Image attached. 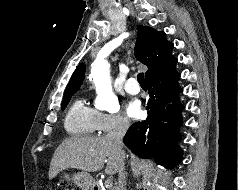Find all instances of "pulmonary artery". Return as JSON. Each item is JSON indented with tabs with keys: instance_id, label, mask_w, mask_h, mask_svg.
<instances>
[{
	"instance_id": "e3ab8cb5",
	"label": "pulmonary artery",
	"mask_w": 238,
	"mask_h": 190,
	"mask_svg": "<svg viewBox=\"0 0 238 190\" xmlns=\"http://www.w3.org/2000/svg\"><path fill=\"white\" fill-rule=\"evenodd\" d=\"M124 89L129 94H138L140 91V88L134 78H130L125 82Z\"/></svg>"
}]
</instances>
